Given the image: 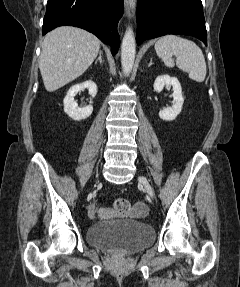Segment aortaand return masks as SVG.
<instances>
[{"mask_svg": "<svg viewBox=\"0 0 240 287\" xmlns=\"http://www.w3.org/2000/svg\"><path fill=\"white\" fill-rule=\"evenodd\" d=\"M136 54V41L133 30L128 27L121 44V65L125 74L132 71Z\"/></svg>", "mask_w": 240, "mask_h": 287, "instance_id": "obj_1", "label": "aorta"}]
</instances>
